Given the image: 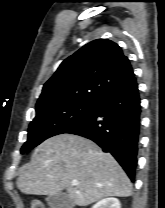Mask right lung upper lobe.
<instances>
[{"label": "right lung upper lobe", "instance_id": "1", "mask_svg": "<svg viewBox=\"0 0 165 208\" xmlns=\"http://www.w3.org/2000/svg\"><path fill=\"white\" fill-rule=\"evenodd\" d=\"M133 77L121 48L110 40L97 39L61 63L45 83L36 109L62 102H98Z\"/></svg>", "mask_w": 165, "mask_h": 208}]
</instances>
